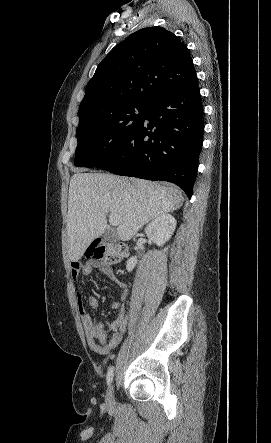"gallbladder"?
I'll return each mask as SVG.
<instances>
[{
	"mask_svg": "<svg viewBox=\"0 0 271 443\" xmlns=\"http://www.w3.org/2000/svg\"><path fill=\"white\" fill-rule=\"evenodd\" d=\"M103 237L106 241H116L118 239L117 231H106Z\"/></svg>",
	"mask_w": 271,
	"mask_h": 443,
	"instance_id": "obj_1",
	"label": "gallbladder"
}]
</instances>
